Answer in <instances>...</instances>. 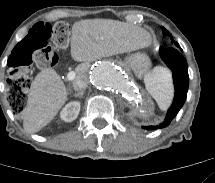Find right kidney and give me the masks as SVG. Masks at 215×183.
Returning a JSON list of instances; mask_svg holds the SVG:
<instances>
[{"mask_svg": "<svg viewBox=\"0 0 215 183\" xmlns=\"http://www.w3.org/2000/svg\"><path fill=\"white\" fill-rule=\"evenodd\" d=\"M80 103L77 101L69 102L61 111L60 117L65 122L74 121L80 112Z\"/></svg>", "mask_w": 215, "mask_h": 183, "instance_id": "obj_1", "label": "right kidney"}]
</instances>
